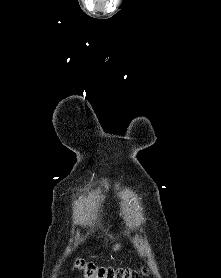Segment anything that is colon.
I'll use <instances>...</instances> for the list:
<instances>
[{"instance_id":"5ec220e1","label":"colon","mask_w":221,"mask_h":278,"mask_svg":"<svg viewBox=\"0 0 221 278\" xmlns=\"http://www.w3.org/2000/svg\"><path fill=\"white\" fill-rule=\"evenodd\" d=\"M76 265L86 278H142L146 271H137L127 267L98 266L92 262L77 260Z\"/></svg>"}]
</instances>
